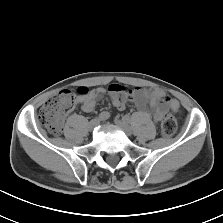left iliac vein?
I'll list each match as a JSON object with an SVG mask.
<instances>
[{
  "instance_id": "left-iliac-vein-1",
  "label": "left iliac vein",
  "mask_w": 223,
  "mask_h": 223,
  "mask_svg": "<svg viewBox=\"0 0 223 223\" xmlns=\"http://www.w3.org/2000/svg\"><path fill=\"white\" fill-rule=\"evenodd\" d=\"M118 128L123 130L127 136H130L132 134V128L129 126L127 121L125 120H116L115 121Z\"/></svg>"
}]
</instances>
